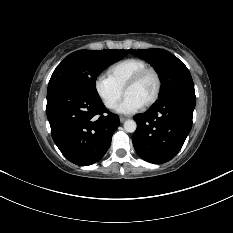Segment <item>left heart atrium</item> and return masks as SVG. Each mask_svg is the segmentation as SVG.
Instances as JSON below:
<instances>
[{
  "label": "left heart atrium",
  "instance_id": "obj_1",
  "mask_svg": "<svg viewBox=\"0 0 233 233\" xmlns=\"http://www.w3.org/2000/svg\"><path fill=\"white\" fill-rule=\"evenodd\" d=\"M142 104L131 96H125L123 101L117 107V112L122 114H132L142 108Z\"/></svg>",
  "mask_w": 233,
  "mask_h": 233
}]
</instances>
